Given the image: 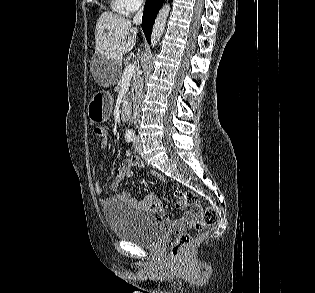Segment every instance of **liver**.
<instances>
[{
	"instance_id": "liver-1",
	"label": "liver",
	"mask_w": 315,
	"mask_h": 293,
	"mask_svg": "<svg viewBox=\"0 0 315 293\" xmlns=\"http://www.w3.org/2000/svg\"><path fill=\"white\" fill-rule=\"evenodd\" d=\"M128 36V39H127ZM137 29L131 21L111 12H103L95 28V52L110 61L121 62L136 44Z\"/></svg>"
}]
</instances>
